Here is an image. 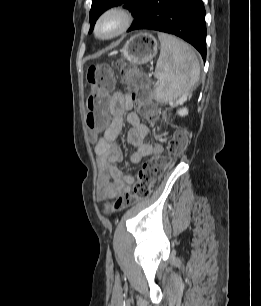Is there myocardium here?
<instances>
[{"label": "myocardium", "mask_w": 261, "mask_h": 306, "mask_svg": "<svg viewBox=\"0 0 261 306\" xmlns=\"http://www.w3.org/2000/svg\"><path fill=\"white\" fill-rule=\"evenodd\" d=\"M114 18L117 20L118 24L114 31L102 34L101 29L104 23L108 20ZM134 16L130 9L123 5H114L106 10H104L94 25V36L99 40H111L120 35L124 34L133 24Z\"/></svg>", "instance_id": "obj_1"}]
</instances>
